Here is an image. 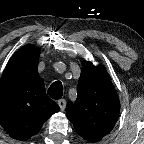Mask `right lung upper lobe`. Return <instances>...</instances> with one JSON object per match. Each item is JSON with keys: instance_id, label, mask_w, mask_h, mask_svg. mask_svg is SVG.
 I'll return each mask as SVG.
<instances>
[{"instance_id": "1", "label": "right lung upper lobe", "mask_w": 144, "mask_h": 144, "mask_svg": "<svg viewBox=\"0 0 144 144\" xmlns=\"http://www.w3.org/2000/svg\"><path fill=\"white\" fill-rule=\"evenodd\" d=\"M40 49L22 47L10 59L0 79V124L14 139L35 135L60 107L47 95L38 75Z\"/></svg>"}]
</instances>
